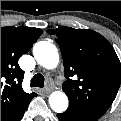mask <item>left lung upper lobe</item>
Listing matches in <instances>:
<instances>
[{
	"mask_svg": "<svg viewBox=\"0 0 121 121\" xmlns=\"http://www.w3.org/2000/svg\"><path fill=\"white\" fill-rule=\"evenodd\" d=\"M47 32L57 36L62 51L67 110L99 119L113 103L120 86L121 64L114 48L89 29L61 27Z\"/></svg>",
	"mask_w": 121,
	"mask_h": 121,
	"instance_id": "5c2ea615",
	"label": "left lung upper lobe"
}]
</instances>
